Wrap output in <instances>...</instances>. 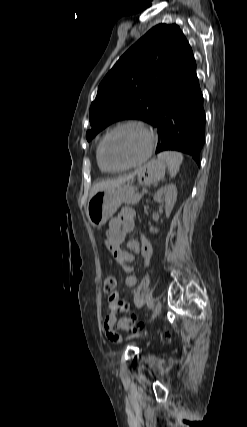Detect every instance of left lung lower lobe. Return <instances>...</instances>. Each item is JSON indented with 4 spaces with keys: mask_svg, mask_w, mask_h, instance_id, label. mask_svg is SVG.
<instances>
[{
    "mask_svg": "<svg viewBox=\"0 0 247 427\" xmlns=\"http://www.w3.org/2000/svg\"><path fill=\"white\" fill-rule=\"evenodd\" d=\"M203 96L196 71L190 80L177 87L164 101L154 122L159 141L156 153L177 150L189 154L200 165L205 142Z\"/></svg>",
    "mask_w": 247,
    "mask_h": 427,
    "instance_id": "0a47b994",
    "label": "left lung lower lobe"
}]
</instances>
